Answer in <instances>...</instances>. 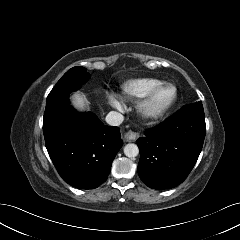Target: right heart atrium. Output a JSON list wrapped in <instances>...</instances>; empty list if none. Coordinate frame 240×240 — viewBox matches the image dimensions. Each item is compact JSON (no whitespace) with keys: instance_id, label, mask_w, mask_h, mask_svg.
Instances as JSON below:
<instances>
[{"instance_id":"d8ad5b80","label":"right heart atrium","mask_w":240,"mask_h":240,"mask_svg":"<svg viewBox=\"0 0 240 240\" xmlns=\"http://www.w3.org/2000/svg\"><path fill=\"white\" fill-rule=\"evenodd\" d=\"M109 103L111 104V106H113L114 108H117V109H121L122 108V104L121 102L118 100V98L113 95V94H110L109 97Z\"/></svg>"}]
</instances>
